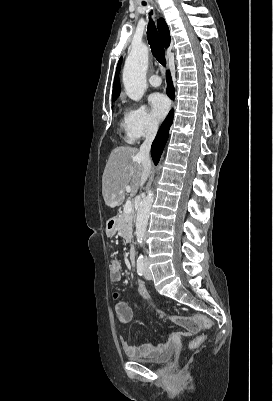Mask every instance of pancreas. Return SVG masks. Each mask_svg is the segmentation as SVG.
I'll use <instances>...</instances> for the list:
<instances>
[{
	"label": "pancreas",
	"instance_id": "pancreas-1",
	"mask_svg": "<svg viewBox=\"0 0 273 401\" xmlns=\"http://www.w3.org/2000/svg\"><path fill=\"white\" fill-rule=\"evenodd\" d=\"M134 213H119L116 221V229L121 233L120 237L130 241L132 237Z\"/></svg>",
	"mask_w": 273,
	"mask_h": 401
}]
</instances>
